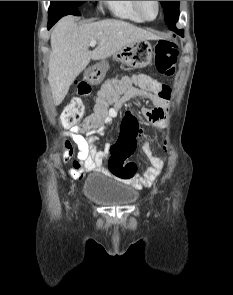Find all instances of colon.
Returning a JSON list of instances; mask_svg holds the SVG:
<instances>
[{"mask_svg":"<svg viewBox=\"0 0 233 295\" xmlns=\"http://www.w3.org/2000/svg\"><path fill=\"white\" fill-rule=\"evenodd\" d=\"M177 55L178 45L174 39L159 40L154 47V65L157 71L166 76L172 75L175 71ZM138 92L153 93L165 99H169L171 96L169 86L146 75L108 81L101 88L94 110L85 118L82 127L86 131L99 127L108 112L109 103L117 100L122 94ZM77 93L78 96L70 100L62 113L63 121L69 125L75 124L83 118L85 107L82 98L90 96L91 86L84 81L78 82ZM139 131L135 117L127 114L121 124L120 137L111 148L108 169L113 176L125 180L135 176L137 166L133 162H127V159L135 151Z\"/></svg>","mask_w":233,"mask_h":295,"instance_id":"colon-1","label":"colon"}]
</instances>
